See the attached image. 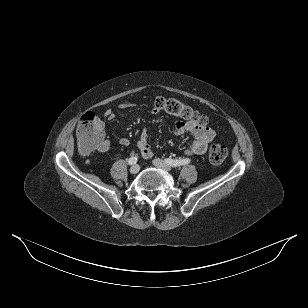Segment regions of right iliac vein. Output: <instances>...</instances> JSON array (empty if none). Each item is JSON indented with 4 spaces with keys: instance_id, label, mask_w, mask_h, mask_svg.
<instances>
[{
    "instance_id": "1",
    "label": "right iliac vein",
    "mask_w": 308,
    "mask_h": 308,
    "mask_svg": "<svg viewBox=\"0 0 308 308\" xmlns=\"http://www.w3.org/2000/svg\"><path fill=\"white\" fill-rule=\"evenodd\" d=\"M140 170V167L139 165H133L131 168H130V173L132 174H137Z\"/></svg>"
}]
</instances>
